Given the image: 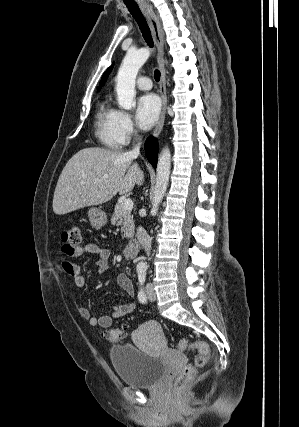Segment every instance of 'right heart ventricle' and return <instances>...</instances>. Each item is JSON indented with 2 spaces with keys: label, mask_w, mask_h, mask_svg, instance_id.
Returning a JSON list of instances; mask_svg holds the SVG:
<instances>
[{
  "label": "right heart ventricle",
  "mask_w": 299,
  "mask_h": 427,
  "mask_svg": "<svg viewBox=\"0 0 299 427\" xmlns=\"http://www.w3.org/2000/svg\"><path fill=\"white\" fill-rule=\"evenodd\" d=\"M118 112L106 97L100 102L96 113V136L109 149H118L122 145L117 129Z\"/></svg>",
  "instance_id": "right-heart-ventricle-1"
}]
</instances>
